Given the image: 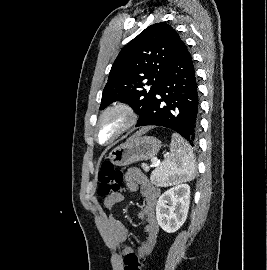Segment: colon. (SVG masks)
Here are the masks:
<instances>
[{"instance_id":"5ec220e1","label":"colon","mask_w":267,"mask_h":270,"mask_svg":"<svg viewBox=\"0 0 267 270\" xmlns=\"http://www.w3.org/2000/svg\"><path fill=\"white\" fill-rule=\"evenodd\" d=\"M98 180L97 193L106 198L120 189L123 175L111 162L105 161L99 170ZM124 270H141V260L136 252L131 251L125 255Z\"/></svg>"}]
</instances>
